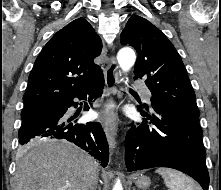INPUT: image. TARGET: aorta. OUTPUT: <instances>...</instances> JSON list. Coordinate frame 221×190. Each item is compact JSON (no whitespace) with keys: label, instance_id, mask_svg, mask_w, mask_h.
I'll return each instance as SVG.
<instances>
[{"label":"aorta","instance_id":"1","mask_svg":"<svg viewBox=\"0 0 221 190\" xmlns=\"http://www.w3.org/2000/svg\"><path fill=\"white\" fill-rule=\"evenodd\" d=\"M118 63L123 71H128L135 63V52L128 47L122 48L117 55ZM112 190H123L122 184L118 179Z\"/></svg>","mask_w":221,"mask_h":190}]
</instances>
